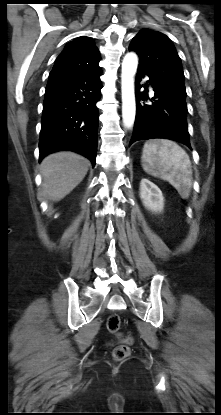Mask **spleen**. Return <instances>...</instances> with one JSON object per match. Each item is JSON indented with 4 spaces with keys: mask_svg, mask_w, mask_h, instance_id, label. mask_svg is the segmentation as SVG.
Masks as SVG:
<instances>
[{
    "mask_svg": "<svg viewBox=\"0 0 221 415\" xmlns=\"http://www.w3.org/2000/svg\"><path fill=\"white\" fill-rule=\"evenodd\" d=\"M142 167L148 174L168 181L183 199L190 195L192 167L188 154L174 141L159 139L144 144Z\"/></svg>",
    "mask_w": 221,
    "mask_h": 415,
    "instance_id": "3e777b00",
    "label": "spleen"
}]
</instances>
